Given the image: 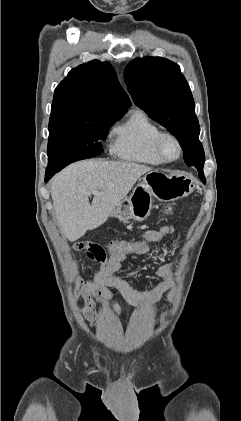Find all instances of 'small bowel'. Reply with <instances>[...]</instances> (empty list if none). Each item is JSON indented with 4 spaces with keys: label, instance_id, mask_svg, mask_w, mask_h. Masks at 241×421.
Segmentation results:
<instances>
[{
    "label": "small bowel",
    "instance_id": "1",
    "mask_svg": "<svg viewBox=\"0 0 241 421\" xmlns=\"http://www.w3.org/2000/svg\"><path fill=\"white\" fill-rule=\"evenodd\" d=\"M174 231L175 226L173 225L163 226L158 230H149L142 235L140 241L149 244L158 243ZM125 258V255H110L109 259L101 265L94 281H76L73 300L76 301L79 297L84 296L88 302L93 298L103 305L110 303L112 310L119 317H122V308L118 303L112 301L110 287L119 290L132 303L152 302L165 292H167V298L173 300L174 291L169 290L172 276L168 265L160 267L157 271V275L162 278V281L149 291L140 293L135 291L126 280L114 276V273L121 268Z\"/></svg>",
    "mask_w": 241,
    "mask_h": 421
}]
</instances>
